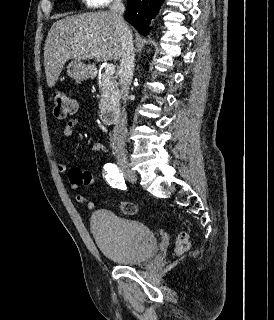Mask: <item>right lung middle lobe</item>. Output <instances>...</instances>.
I'll list each match as a JSON object with an SVG mask.
<instances>
[{
    "label": "right lung middle lobe",
    "instance_id": "obj_1",
    "mask_svg": "<svg viewBox=\"0 0 274 320\" xmlns=\"http://www.w3.org/2000/svg\"><path fill=\"white\" fill-rule=\"evenodd\" d=\"M63 1H65V0H58L59 3L63 2Z\"/></svg>",
    "mask_w": 274,
    "mask_h": 320
}]
</instances>
